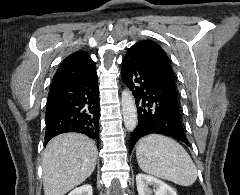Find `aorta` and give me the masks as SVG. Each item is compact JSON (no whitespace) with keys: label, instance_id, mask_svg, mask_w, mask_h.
Returning <instances> with one entry per match:
<instances>
[{"label":"aorta","instance_id":"762f6f07","mask_svg":"<svg viewBox=\"0 0 240 195\" xmlns=\"http://www.w3.org/2000/svg\"><path fill=\"white\" fill-rule=\"evenodd\" d=\"M121 105L124 125L127 131H133L138 123V117L135 99L133 98L130 90H123L121 94Z\"/></svg>","mask_w":240,"mask_h":195}]
</instances>
